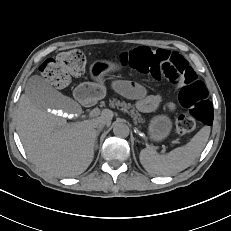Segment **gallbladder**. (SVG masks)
Instances as JSON below:
<instances>
[{"label":"gallbladder","mask_w":231,"mask_h":231,"mask_svg":"<svg viewBox=\"0 0 231 231\" xmlns=\"http://www.w3.org/2000/svg\"><path fill=\"white\" fill-rule=\"evenodd\" d=\"M25 94L28 99L40 110L62 109V106L70 99L55 90L40 76H32L25 86Z\"/></svg>","instance_id":"1"}]
</instances>
